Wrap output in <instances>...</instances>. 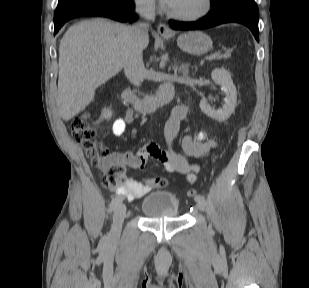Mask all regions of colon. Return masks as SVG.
Here are the masks:
<instances>
[{"mask_svg":"<svg viewBox=\"0 0 309 288\" xmlns=\"http://www.w3.org/2000/svg\"><path fill=\"white\" fill-rule=\"evenodd\" d=\"M88 117V113H83L73 119L71 135L90 158L91 165L103 172L102 185L109 190L116 189L124 182V167L115 158L109 156L108 150L98 140L95 129L88 123ZM154 183L159 187H164L168 181L160 177L154 180ZM187 196L193 199L198 196V192L191 188L187 191Z\"/></svg>","mask_w":309,"mask_h":288,"instance_id":"5ec220e1","label":"colon"}]
</instances>
